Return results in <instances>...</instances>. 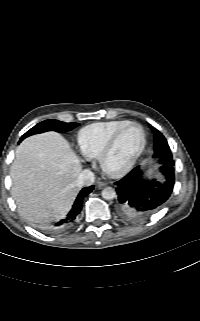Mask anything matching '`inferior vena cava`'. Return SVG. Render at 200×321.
<instances>
[{
  "mask_svg": "<svg viewBox=\"0 0 200 321\" xmlns=\"http://www.w3.org/2000/svg\"><path fill=\"white\" fill-rule=\"evenodd\" d=\"M94 179V173L89 169H84L75 180V184L78 187L91 186L94 183Z\"/></svg>",
  "mask_w": 200,
  "mask_h": 321,
  "instance_id": "1",
  "label": "inferior vena cava"
}]
</instances>
